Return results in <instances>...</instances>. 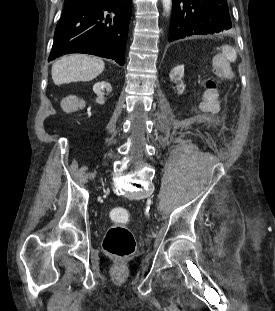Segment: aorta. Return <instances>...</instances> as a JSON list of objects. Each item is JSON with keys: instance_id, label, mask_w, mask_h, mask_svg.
I'll return each instance as SVG.
<instances>
[{"instance_id": "762f6f07", "label": "aorta", "mask_w": 275, "mask_h": 311, "mask_svg": "<svg viewBox=\"0 0 275 311\" xmlns=\"http://www.w3.org/2000/svg\"><path fill=\"white\" fill-rule=\"evenodd\" d=\"M171 0H162L164 12L169 15L171 11Z\"/></svg>"}]
</instances>
